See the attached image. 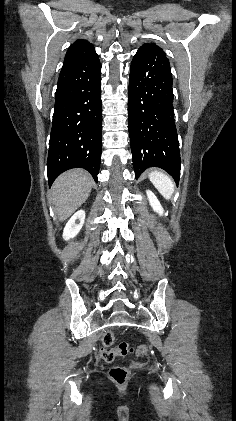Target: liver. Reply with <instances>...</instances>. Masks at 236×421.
<instances>
[{
	"mask_svg": "<svg viewBox=\"0 0 236 421\" xmlns=\"http://www.w3.org/2000/svg\"><path fill=\"white\" fill-rule=\"evenodd\" d=\"M95 182L83 168H72L60 174L51 186V198L59 221H65L88 198Z\"/></svg>",
	"mask_w": 236,
	"mask_h": 421,
	"instance_id": "liver-1",
	"label": "liver"
}]
</instances>
